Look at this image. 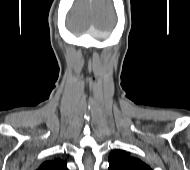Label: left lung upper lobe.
<instances>
[{
    "instance_id": "obj_1",
    "label": "left lung upper lobe",
    "mask_w": 190,
    "mask_h": 170,
    "mask_svg": "<svg viewBox=\"0 0 190 170\" xmlns=\"http://www.w3.org/2000/svg\"><path fill=\"white\" fill-rule=\"evenodd\" d=\"M108 170H152L138 158L130 156L124 150H114L109 156Z\"/></svg>"
}]
</instances>
